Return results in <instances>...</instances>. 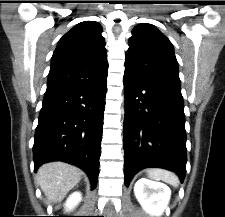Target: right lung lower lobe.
Wrapping results in <instances>:
<instances>
[{
    "mask_svg": "<svg viewBox=\"0 0 225 217\" xmlns=\"http://www.w3.org/2000/svg\"><path fill=\"white\" fill-rule=\"evenodd\" d=\"M107 80L45 94L35 132V170L65 161L82 168L96 186Z\"/></svg>",
    "mask_w": 225,
    "mask_h": 217,
    "instance_id": "obj_1",
    "label": "right lung lower lobe"
}]
</instances>
